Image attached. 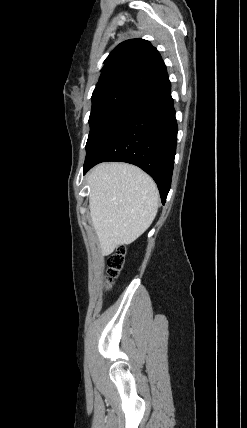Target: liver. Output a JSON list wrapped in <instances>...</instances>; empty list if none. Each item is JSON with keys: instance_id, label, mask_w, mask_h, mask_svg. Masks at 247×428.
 Returning a JSON list of instances; mask_svg holds the SVG:
<instances>
[{"instance_id": "obj_1", "label": "liver", "mask_w": 247, "mask_h": 428, "mask_svg": "<svg viewBox=\"0 0 247 428\" xmlns=\"http://www.w3.org/2000/svg\"><path fill=\"white\" fill-rule=\"evenodd\" d=\"M92 225L102 255L130 244L153 222L159 192L153 179L136 166L102 163L87 176Z\"/></svg>"}]
</instances>
